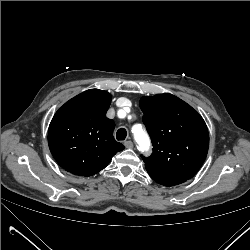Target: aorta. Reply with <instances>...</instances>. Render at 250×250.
<instances>
[{"label":"aorta","instance_id":"obj_1","mask_svg":"<svg viewBox=\"0 0 250 250\" xmlns=\"http://www.w3.org/2000/svg\"><path fill=\"white\" fill-rule=\"evenodd\" d=\"M135 140L138 143L141 150H146L150 145L149 137L144 132H137L135 134Z\"/></svg>","mask_w":250,"mask_h":250}]
</instances>
